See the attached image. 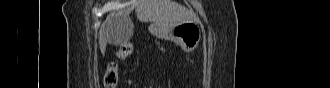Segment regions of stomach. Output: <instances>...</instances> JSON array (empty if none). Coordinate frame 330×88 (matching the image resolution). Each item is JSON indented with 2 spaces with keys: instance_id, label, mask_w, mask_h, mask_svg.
Masks as SVG:
<instances>
[{
  "instance_id": "stomach-1",
  "label": "stomach",
  "mask_w": 330,
  "mask_h": 88,
  "mask_svg": "<svg viewBox=\"0 0 330 88\" xmlns=\"http://www.w3.org/2000/svg\"><path fill=\"white\" fill-rule=\"evenodd\" d=\"M162 31L165 38L177 42L186 52L194 50L202 36L201 27L194 22L162 25Z\"/></svg>"
}]
</instances>
